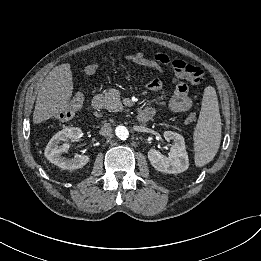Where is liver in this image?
Wrapping results in <instances>:
<instances>
[{"mask_svg": "<svg viewBox=\"0 0 261 261\" xmlns=\"http://www.w3.org/2000/svg\"><path fill=\"white\" fill-rule=\"evenodd\" d=\"M70 64L65 63L53 68L44 79L37 95L33 122L42 123L64 111L73 91Z\"/></svg>", "mask_w": 261, "mask_h": 261, "instance_id": "6515ba94", "label": "liver"}]
</instances>
